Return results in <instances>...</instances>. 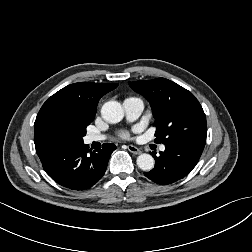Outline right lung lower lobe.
Instances as JSON below:
<instances>
[{
  "label": "right lung lower lobe",
  "instance_id": "right-lung-lower-lobe-1",
  "mask_svg": "<svg viewBox=\"0 0 252 252\" xmlns=\"http://www.w3.org/2000/svg\"><path fill=\"white\" fill-rule=\"evenodd\" d=\"M116 149L114 144H103L93 152L83 142L36 147L45 172L58 184L72 189L92 187L104 175L108 160Z\"/></svg>",
  "mask_w": 252,
  "mask_h": 252
}]
</instances>
